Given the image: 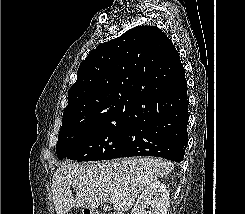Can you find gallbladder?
<instances>
[{"label":"gallbladder","mask_w":245,"mask_h":214,"mask_svg":"<svg viewBox=\"0 0 245 214\" xmlns=\"http://www.w3.org/2000/svg\"><path fill=\"white\" fill-rule=\"evenodd\" d=\"M110 209H111L110 206H104V207H103V210H104V211H109Z\"/></svg>","instance_id":"bac80fb5"}]
</instances>
